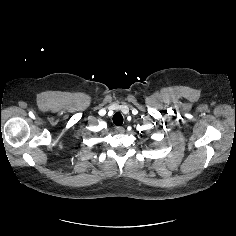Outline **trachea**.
<instances>
[{"mask_svg": "<svg viewBox=\"0 0 236 236\" xmlns=\"http://www.w3.org/2000/svg\"><path fill=\"white\" fill-rule=\"evenodd\" d=\"M113 122L115 125L117 126H121L123 124V117L120 113H116L114 116H113Z\"/></svg>", "mask_w": 236, "mask_h": 236, "instance_id": "3493384b", "label": "trachea"}]
</instances>
